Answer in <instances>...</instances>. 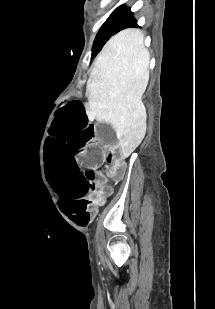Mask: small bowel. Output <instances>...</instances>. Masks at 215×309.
<instances>
[{"instance_id":"small-bowel-1","label":"small bowel","mask_w":215,"mask_h":309,"mask_svg":"<svg viewBox=\"0 0 215 309\" xmlns=\"http://www.w3.org/2000/svg\"><path fill=\"white\" fill-rule=\"evenodd\" d=\"M98 191L96 193V204L101 205L104 202L106 196L110 195L112 190L105 185L103 181L97 182Z\"/></svg>"}]
</instances>
